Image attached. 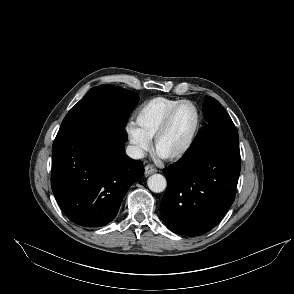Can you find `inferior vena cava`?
I'll return each mask as SVG.
<instances>
[{"label": "inferior vena cava", "mask_w": 294, "mask_h": 294, "mask_svg": "<svg viewBox=\"0 0 294 294\" xmlns=\"http://www.w3.org/2000/svg\"><path fill=\"white\" fill-rule=\"evenodd\" d=\"M126 154L133 159H141L144 157V151L139 147L132 145L127 146Z\"/></svg>", "instance_id": "inferior-vena-cava-1"}]
</instances>
